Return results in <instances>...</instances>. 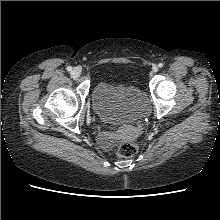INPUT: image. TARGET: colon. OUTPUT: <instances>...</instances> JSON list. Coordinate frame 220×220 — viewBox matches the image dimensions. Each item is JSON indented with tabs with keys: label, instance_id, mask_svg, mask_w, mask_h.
<instances>
[{
	"label": "colon",
	"instance_id": "colon-1",
	"mask_svg": "<svg viewBox=\"0 0 220 220\" xmlns=\"http://www.w3.org/2000/svg\"><path fill=\"white\" fill-rule=\"evenodd\" d=\"M114 152L118 157L128 158L137 152V146L133 142H118L114 147Z\"/></svg>",
	"mask_w": 220,
	"mask_h": 220
}]
</instances>
